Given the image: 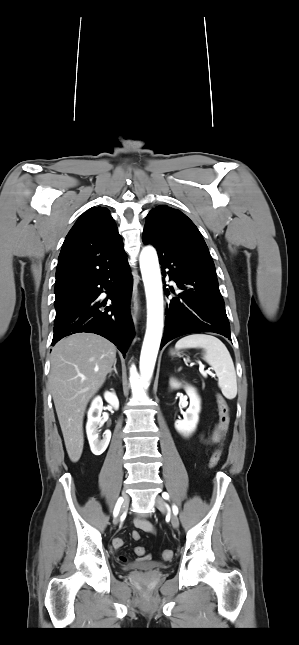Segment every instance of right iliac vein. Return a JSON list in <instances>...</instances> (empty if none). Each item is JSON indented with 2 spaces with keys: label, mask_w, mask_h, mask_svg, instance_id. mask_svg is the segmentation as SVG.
<instances>
[{
  "label": "right iliac vein",
  "mask_w": 299,
  "mask_h": 645,
  "mask_svg": "<svg viewBox=\"0 0 299 645\" xmlns=\"http://www.w3.org/2000/svg\"><path fill=\"white\" fill-rule=\"evenodd\" d=\"M122 499H123V502H122L121 513L124 511V509L129 504V496L127 495V493L125 491H123V493H122ZM118 522H119V517L116 516L115 519H114V523L117 524Z\"/></svg>",
  "instance_id": "1"
}]
</instances>
